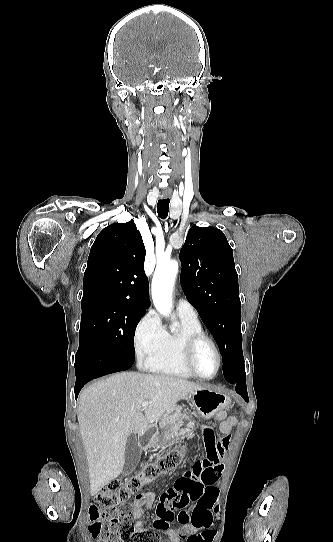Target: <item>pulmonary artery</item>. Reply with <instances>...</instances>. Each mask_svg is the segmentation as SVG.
I'll use <instances>...</instances> for the list:
<instances>
[{"label":"pulmonary artery","mask_w":333,"mask_h":542,"mask_svg":"<svg viewBox=\"0 0 333 542\" xmlns=\"http://www.w3.org/2000/svg\"><path fill=\"white\" fill-rule=\"evenodd\" d=\"M176 313L180 316H183L192 320L198 319L197 312L195 308L193 307V305L187 299L183 297L179 298L177 301Z\"/></svg>","instance_id":"1"}]
</instances>
